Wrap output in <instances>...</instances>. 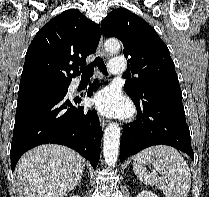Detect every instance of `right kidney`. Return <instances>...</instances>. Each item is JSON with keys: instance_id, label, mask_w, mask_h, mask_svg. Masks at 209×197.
<instances>
[{"instance_id": "ca27d5eb", "label": "right kidney", "mask_w": 209, "mask_h": 197, "mask_svg": "<svg viewBox=\"0 0 209 197\" xmlns=\"http://www.w3.org/2000/svg\"><path fill=\"white\" fill-rule=\"evenodd\" d=\"M69 197H80L79 195H71V196H69Z\"/></svg>"}]
</instances>
